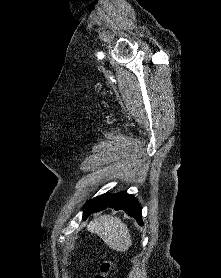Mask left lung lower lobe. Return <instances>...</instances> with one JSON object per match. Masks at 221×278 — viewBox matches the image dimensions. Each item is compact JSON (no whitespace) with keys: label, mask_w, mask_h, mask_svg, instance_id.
Wrapping results in <instances>:
<instances>
[{"label":"left lung lower lobe","mask_w":221,"mask_h":278,"mask_svg":"<svg viewBox=\"0 0 221 278\" xmlns=\"http://www.w3.org/2000/svg\"><path fill=\"white\" fill-rule=\"evenodd\" d=\"M107 207L115 210H124L128 215L134 217L136 221L142 225V207L137 199L126 192L110 195L105 193L92 199L85 206L83 219L85 220L91 213L106 209Z\"/></svg>","instance_id":"1"}]
</instances>
